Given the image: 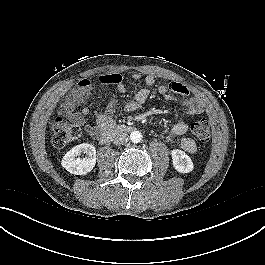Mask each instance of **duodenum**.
<instances>
[{
  "label": "duodenum",
  "mask_w": 265,
  "mask_h": 265,
  "mask_svg": "<svg viewBox=\"0 0 265 265\" xmlns=\"http://www.w3.org/2000/svg\"><path fill=\"white\" fill-rule=\"evenodd\" d=\"M133 130L134 128L130 125L120 124L118 126L112 127L109 130L99 132L95 134L93 137H97L101 143H107L111 141L112 139H114L115 137L123 133L132 132Z\"/></svg>",
  "instance_id": "1"
}]
</instances>
